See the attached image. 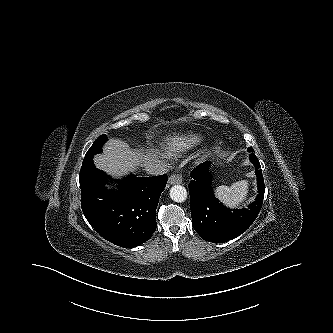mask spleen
Segmentation results:
<instances>
[{
	"instance_id": "spleen-1",
	"label": "spleen",
	"mask_w": 333,
	"mask_h": 333,
	"mask_svg": "<svg viewBox=\"0 0 333 333\" xmlns=\"http://www.w3.org/2000/svg\"><path fill=\"white\" fill-rule=\"evenodd\" d=\"M248 193V182L238 181L230 187L219 186L215 189L216 196L230 208L238 207L246 199Z\"/></svg>"
}]
</instances>
